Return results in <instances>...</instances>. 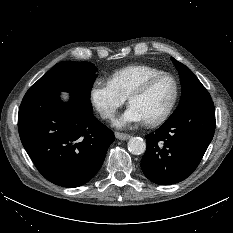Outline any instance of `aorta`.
I'll return each instance as SVG.
<instances>
[{
  "label": "aorta",
  "instance_id": "762f6f07",
  "mask_svg": "<svg viewBox=\"0 0 233 233\" xmlns=\"http://www.w3.org/2000/svg\"><path fill=\"white\" fill-rule=\"evenodd\" d=\"M128 150L133 155H140L146 151V143L141 137H132L128 142Z\"/></svg>",
  "mask_w": 233,
  "mask_h": 233
}]
</instances>
